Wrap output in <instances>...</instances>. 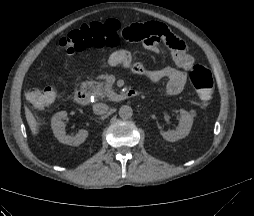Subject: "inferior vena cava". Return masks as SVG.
<instances>
[{"label":"inferior vena cava","instance_id":"inferior-vena-cava-1","mask_svg":"<svg viewBox=\"0 0 254 216\" xmlns=\"http://www.w3.org/2000/svg\"><path fill=\"white\" fill-rule=\"evenodd\" d=\"M109 107L104 103H97L93 106V112L96 115L105 114L108 111Z\"/></svg>","mask_w":254,"mask_h":216}]
</instances>
